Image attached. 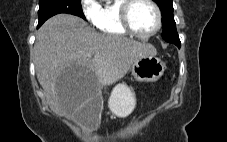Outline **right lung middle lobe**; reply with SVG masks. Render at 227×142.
<instances>
[{"instance_id":"obj_1","label":"right lung middle lobe","mask_w":227,"mask_h":142,"mask_svg":"<svg viewBox=\"0 0 227 142\" xmlns=\"http://www.w3.org/2000/svg\"><path fill=\"white\" fill-rule=\"evenodd\" d=\"M60 13L72 14L86 19L82 11L81 0H39V25Z\"/></svg>"}]
</instances>
